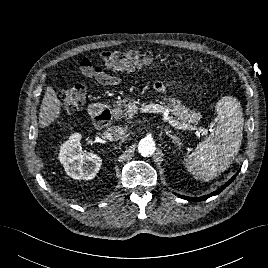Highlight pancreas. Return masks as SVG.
<instances>
[{"mask_svg":"<svg viewBox=\"0 0 268 268\" xmlns=\"http://www.w3.org/2000/svg\"><path fill=\"white\" fill-rule=\"evenodd\" d=\"M162 104L167 103L171 114L179 120L182 124H197L201 119L200 112H196L191 110L186 105H182L179 99L175 98H163ZM130 102H128V98L119 99L113 104L112 113L116 118H132L133 114L129 112Z\"/></svg>","mask_w":268,"mask_h":268,"instance_id":"pancreas-1","label":"pancreas"}]
</instances>
